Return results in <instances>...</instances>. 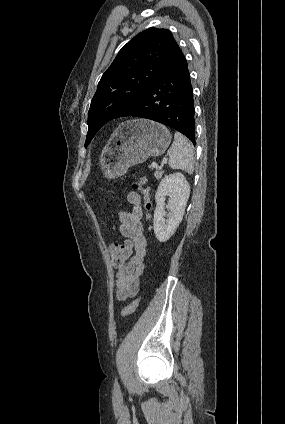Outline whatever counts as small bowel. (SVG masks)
Returning a JSON list of instances; mask_svg holds the SVG:
<instances>
[{"mask_svg": "<svg viewBox=\"0 0 285 424\" xmlns=\"http://www.w3.org/2000/svg\"><path fill=\"white\" fill-rule=\"evenodd\" d=\"M127 202L132 206L130 212L120 211L119 232L131 244L134 254L117 267L115 274V293L118 300H127L137 295L140 279L145 269L147 241L143 233L141 196L135 191L126 195ZM131 254V252H130Z\"/></svg>", "mask_w": 285, "mask_h": 424, "instance_id": "1", "label": "small bowel"}]
</instances>
